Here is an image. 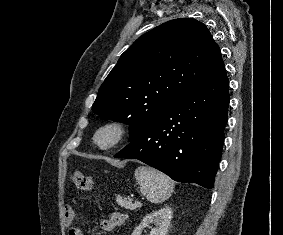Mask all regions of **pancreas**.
<instances>
[{"mask_svg": "<svg viewBox=\"0 0 283 235\" xmlns=\"http://www.w3.org/2000/svg\"><path fill=\"white\" fill-rule=\"evenodd\" d=\"M115 200L121 207H124L125 209L135 210L140 207L138 203H133L130 199L123 198L121 196H116Z\"/></svg>", "mask_w": 283, "mask_h": 235, "instance_id": "pancreas-1", "label": "pancreas"}]
</instances>
